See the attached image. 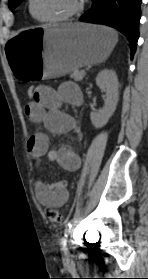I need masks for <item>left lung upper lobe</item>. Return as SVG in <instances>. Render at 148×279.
Listing matches in <instances>:
<instances>
[{
	"mask_svg": "<svg viewBox=\"0 0 148 279\" xmlns=\"http://www.w3.org/2000/svg\"><path fill=\"white\" fill-rule=\"evenodd\" d=\"M23 0H9V8L14 11V9L22 2Z\"/></svg>",
	"mask_w": 148,
	"mask_h": 279,
	"instance_id": "5c2ea615",
	"label": "left lung upper lobe"
}]
</instances>
